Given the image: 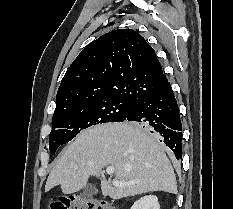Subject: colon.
I'll return each instance as SVG.
<instances>
[{"label":"colon","mask_w":233,"mask_h":209,"mask_svg":"<svg viewBox=\"0 0 233 209\" xmlns=\"http://www.w3.org/2000/svg\"><path fill=\"white\" fill-rule=\"evenodd\" d=\"M50 209H116L107 201L72 196L53 202Z\"/></svg>","instance_id":"obj_1"}]
</instances>
